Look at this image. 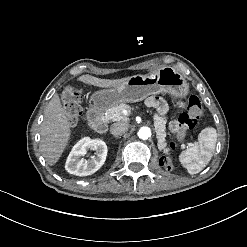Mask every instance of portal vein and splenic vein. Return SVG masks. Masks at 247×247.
<instances>
[{"instance_id": "portal-vein-and-splenic-vein-1", "label": "portal vein and splenic vein", "mask_w": 247, "mask_h": 247, "mask_svg": "<svg viewBox=\"0 0 247 247\" xmlns=\"http://www.w3.org/2000/svg\"><path fill=\"white\" fill-rule=\"evenodd\" d=\"M185 145H188L189 147H192L193 146V143L192 142H185Z\"/></svg>"}]
</instances>
